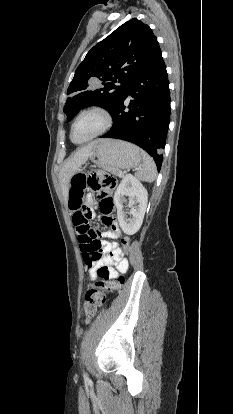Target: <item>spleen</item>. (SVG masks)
I'll return each instance as SVG.
<instances>
[{"instance_id": "1", "label": "spleen", "mask_w": 233, "mask_h": 414, "mask_svg": "<svg viewBox=\"0 0 233 414\" xmlns=\"http://www.w3.org/2000/svg\"><path fill=\"white\" fill-rule=\"evenodd\" d=\"M142 154V165L141 168L137 171L136 176L138 179L145 182H153L157 176L156 165L152 159L145 151H141Z\"/></svg>"}]
</instances>
